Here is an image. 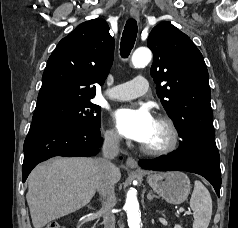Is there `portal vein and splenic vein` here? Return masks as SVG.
<instances>
[{"label": "portal vein and splenic vein", "mask_w": 238, "mask_h": 228, "mask_svg": "<svg viewBox=\"0 0 238 228\" xmlns=\"http://www.w3.org/2000/svg\"><path fill=\"white\" fill-rule=\"evenodd\" d=\"M184 211H185V210H184L183 208H180V209L177 211V213L179 214V213H182V212H184ZM185 213L191 214L190 211H186Z\"/></svg>", "instance_id": "obj_1"}]
</instances>
